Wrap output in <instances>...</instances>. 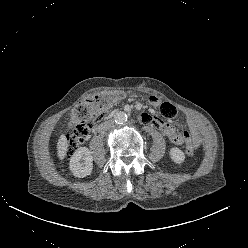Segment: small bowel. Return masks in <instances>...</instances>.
Here are the masks:
<instances>
[{"mask_svg":"<svg viewBox=\"0 0 248 248\" xmlns=\"http://www.w3.org/2000/svg\"><path fill=\"white\" fill-rule=\"evenodd\" d=\"M150 106L157 109L160 116L151 117L148 113L142 112L139 119L142 123L152 122L153 126L161 130L169 140L177 146L183 145L188 142H200V133L193 121H189V131L178 132L173 125L166 124V120H172L178 117L179 110L177 106L169 102H164L156 96H152L149 101ZM110 115L109 111L103 112L93 120L94 124L104 121Z\"/></svg>","mask_w":248,"mask_h":248,"instance_id":"c3829d8e","label":"small bowel"}]
</instances>
